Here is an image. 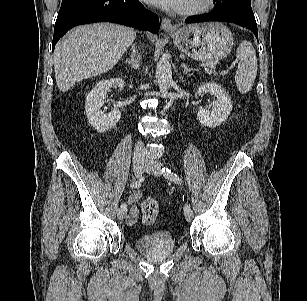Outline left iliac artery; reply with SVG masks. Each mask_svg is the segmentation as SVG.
<instances>
[{"label": "left iliac artery", "mask_w": 307, "mask_h": 301, "mask_svg": "<svg viewBox=\"0 0 307 301\" xmlns=\"http://www.w3.org/2000/svg\"><path fill=\"white\" fill-rule=\"evenodd\" d=\"M162 172L164 173L165 178H167L168 180L181 184V179L179 178V176H177V174L171 171L169 168L163 167ZM190 208H191L190 205L186 204L184 206V212L188 211Z\"/></svg>", "instance_id": "left-iliac-artery-1"}]
</instances>
